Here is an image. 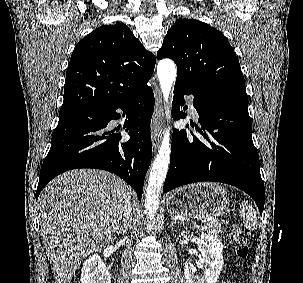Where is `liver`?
Instances as JSON below:
<instances>
[{
    "label": "liver",
    "mask_w": 303,
    "mask_h": 283,
    "mask_svg": "<svg viewBox=\"0 0 303 283\" xmlns=\"http://www.w3.org/2000/svg\"><path fill=\"white\" fill-rule=\"evenodd\" d=\"M128 195L123 180L94 169L65 172L43 189L40 229L57 283H71L84 258L114 241Z\"/></svg>",
    "instance_id": "obj_1"
}]
</instances>
